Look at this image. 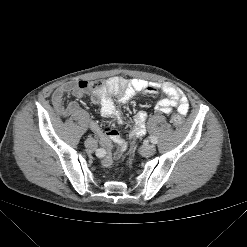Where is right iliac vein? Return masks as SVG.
Returning <instances> with one entry per match:
<instances>
[{
  "label": "right iliac vein",
  "mask_w": 247,
  "mask_h": 247,
  "mask_svg": "<svg viewBox=\"0 0 247 247\" xmlns=\"http://www.w3.org/2000/svg\"><path fill=\"white\" fill-rule=\"evenodd\" d=\"M85 147H86V149H88V150H93V149H95V147H96V142H95V140H93L92 138H88V139L85 141Z\"/></svg>",
  "instance_id": "right-iliac-vein-1"
}]
</instances>
